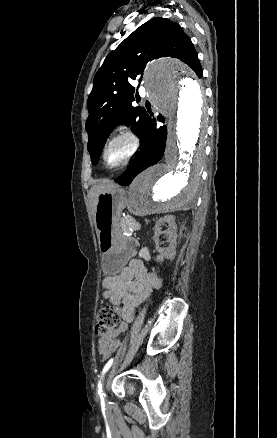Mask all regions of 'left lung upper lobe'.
<instances>
[{"label":"left lung upper lobe","mask_w":277,"mask_h":438,"mask_svg":"<svg viewBox=\"0 0 277 438\" xmlns=\"http://www.w3.org/2000/svg\"><path fill=\"white\" fill-rule=\"evenodd\" d=\"M167 56L180 59L202 77V67L190 38L178 23L166 18L144 23L107 55L88 97L87 149L93 164L117 124L132 125L143 137L148 132L150 114L143 107L132 106L135 99L130 80L138 77L141 81L149 61Z\"/></svg>","instance_id":"left-lung-upper-lobe-1"}]
</instances>
